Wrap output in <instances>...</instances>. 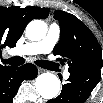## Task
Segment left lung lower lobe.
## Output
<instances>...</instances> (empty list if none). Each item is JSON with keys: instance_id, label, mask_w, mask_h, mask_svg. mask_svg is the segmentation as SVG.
Returning a JSON list of instances; mask_svg holds the SVG:
<instances>
[{"instance_id": "1", "label": "left lung lower lobe", "mask_w": 103, "mask_h": 103, "mask_svg": "<svg viewBox=\"0 0 103 103\" xmlns=\"http://www.w3.org/2000/svg\"><path fill=\"white\" fill-rule=\"evenodd\" d=\"M101 78V68H81L70 71L68 82L60 95L47 103H84Z\"/></svg>"}]
</instances>
